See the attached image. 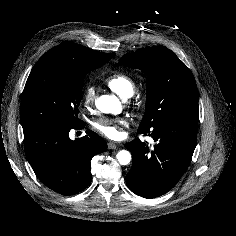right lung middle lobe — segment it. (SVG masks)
Returning a JSON list of instances; mask_svg holds the SVG:
<instances>
[{
    "label": "right lung middle lobe",
    "instance_id": "1",
    "mask_svg": "<svg viewBox=\"0 0 236 236\" xmlns=\"http://www.w3.org/2000/svg\"><path fill=\"white\" fill-rule=\"evenodd\" d=\"M106 62L82 65L35 64L27 79L21 101V124L25 128L39 123L78 126L85 74Z\"/></svg>",
    "mask_w": 236,
    "mask_h": 236
}]
</instances>
